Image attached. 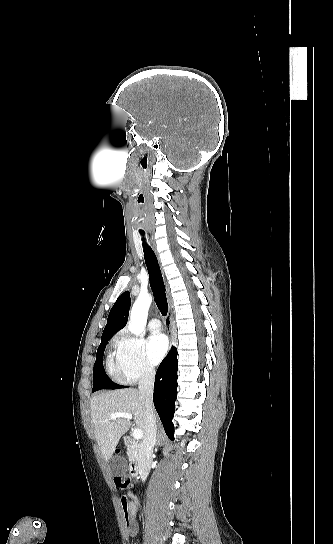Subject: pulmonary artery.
Listing matches in <instances>:
<instances>
[{
	"label": "pulmonary artery",
	"mask_w": 333,
	"mask_h": 544,
	"mask_svg": "<svg viewBox=\"0 0 333 544\" xmlns=\"http://www.w3.org/2000/svg\"><path fill=\"white\" fill-rule=\"evenodd\" d=\"M148 326L152 333H158L161 330V323L157 318H152L149 321Z\"/></svg>",
	"instance_id": "pulmonary-artery-1"
}]
</instances>
